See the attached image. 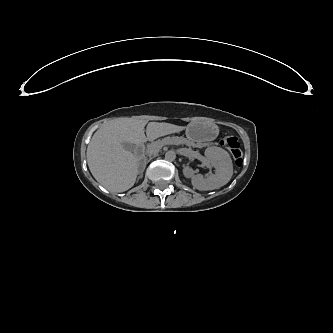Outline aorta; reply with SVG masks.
Returning <instances> with one entry per match:
<instances>
[{"mask_svg":"<svg viewBox=\"0 0 333 333\" xmlns=\"http://www.w3.org/2000/svg\"><path fill=\"white\" fill-rule=\"evenodd\" d=\"M165 159L167 161H170V162L174 161L176 159V153H175V151H173V150L167 151L165 153Z\"/></svg>","mask_w":333,"mask_h":333,"instance_id":"1","label":"aorta"}]
</instances>
